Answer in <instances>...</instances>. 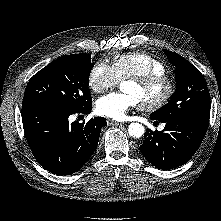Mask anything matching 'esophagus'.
I'll return each instance as SVG.
<instances>
[{
    "instance_id": "34e87169",
    "label": "esophagus",
    "mask_w": 221,
    "mask_h": 221,
    "mask_svg": "<svg viewBox=\"0 0 221 221\" xmlns=\"http://www.w3.org/2000/svg\"><path fill=\"white\" fill-rule=\"evenodd\" d=\"M108 125H113V126H118V125H123V122H117V121H113V120H108L107 121Z\"/></svg>"
}]
</instances>
